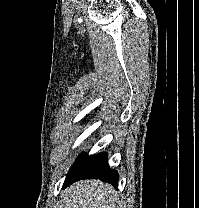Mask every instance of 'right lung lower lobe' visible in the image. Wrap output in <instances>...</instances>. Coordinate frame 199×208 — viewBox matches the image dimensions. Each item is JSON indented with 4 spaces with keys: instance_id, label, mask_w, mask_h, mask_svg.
Here are the masks:
<instances>
[{
    "instance_id": "98d812e1",
    "label": "right lung lower lobe",
    "mask_w": 199,
    "mask_h": 208,
    "mask_svg": "<svg viewBox=\"0 0 199 208\" xmlns=\"http://www.w3.org/2000/svg\"><path fill=\"white\" fill-rule=\"evenodd\" d=\"M107 160L108 156L105 152L91 156L81 154L70 168L63 188L81 179H100L117 188L119 174L109 168Z\"/></svg>"
}]
</instances>
